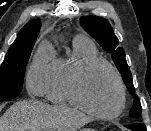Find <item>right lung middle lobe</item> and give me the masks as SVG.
Listing matches in <instances>:
<instances>
[{
	"mask_svg": "<svg viewBox=\"0 0 151 131\" xmlns=\"http://www.w3.org/2000/svg\"><path fill=\"white\" fill-rule=\"evenodd\" d=\"M34 44L9 49L0 68V102L20 94L27 62Z\"/></svg>",
	"mask_w": 151,
	"mask_h": 131,
	"instance_id": "obj_1",
	"label": "right lung middle lobe"
}]
</instances>
